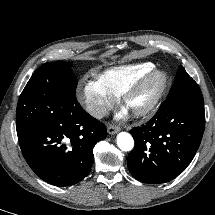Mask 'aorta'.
I'll return each instance as SVG.
<instances>
[{
    "label": "aorta",
    "instance_id": "aorta-1",
    "mask_svg": "<svg viewBox=\"0 0 215 215\" xmlns=\"http://www.w3.org/2000/svg\"><path fill=\"white\" fill-rule=\"evenodd\" d=\"M117 145L123 151H130L134 147L133 137L127 132H120L117 135Z\"/></svg>",
    "mask_w": 215,
    "mask_h": 215
}]
</instances>
